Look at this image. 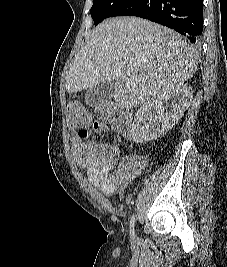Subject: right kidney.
<instances>
[{
	"label": "right kidney",
	"instance_id": "1",
	"mask_svg": "<svg viewBox=\"0 0 227 267\" xmlns=\"http://www.w3.org/2000/svg\"><path fill=\"white\" fill-rule=\"evenodd\" d=\"M192 98V87L180 82L146 101L135 114L132 139L146 143L164 135L183 116Z\"/></svg>",
	"mask_w": 227,
	"mask_h": 267
}]
</instances>
